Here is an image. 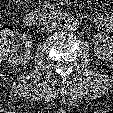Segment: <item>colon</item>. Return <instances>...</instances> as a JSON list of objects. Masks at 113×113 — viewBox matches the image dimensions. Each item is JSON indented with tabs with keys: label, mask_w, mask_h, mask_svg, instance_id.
Listing matches in <instances>:
<instances>
[{
	"label": "colon",
	"mask_w": 113,
	"mask_h": 113,
	"mask_svg": "<svg viewBox=\"0 0 113 113\" xmlns=\"http://www.w3.org/2000/svg\"><path fill=\"white\" fill-rule=\"evenodd\" d=\"M13 34L11 30L0 25V60L3 58L6 49L9 47Z\"/></svg>",
	"instance_id": "colon-1"
}]
</instances>
